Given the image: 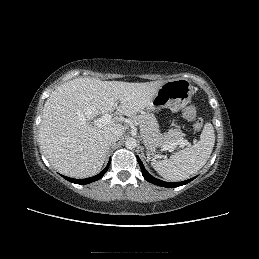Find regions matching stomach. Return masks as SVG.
Here are the masks:
<instances>
[{"mask_svg":"<svg viewBox=\"0 0 259 259\" xmlns=\"http://www.w3.org/2000/svg\"><path fill=\"white\" fill-rule=\"evenodd\" d=\"M194 90L187 79L180 78L164 82L158 89L147 111L169 108L172 112H178L191 100ZM147 155L156 157L162 150V146L146 145Z\"/></svg>","mask_w":259,"mask_h":259,"instance_id":"0dacf381","label":"stomach"}]
</instances>
